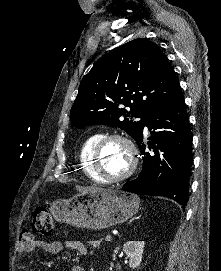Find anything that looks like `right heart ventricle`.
I'll return each mask as SVG.
<instances>
[{
  "instance_id": "1",
  "label": "right heart ventricle",
  "mask_w": 221,
  "mask_h": 271,
  "mask_svg": "<svg viewBox=\"0 0 221 271\" xmlns=\"http://www.w3.org/2000/svg\"><path fill=\"white\" fill-rule=\"evenodd\" d=\"M98 133L89 134L81 142L79 149V162L83 163V172L86 179H92L98 183H107L108 179L103 178L99 171H94L95 158H92L94 146L98 143Z\"/></svg>"
}]
</instances>
